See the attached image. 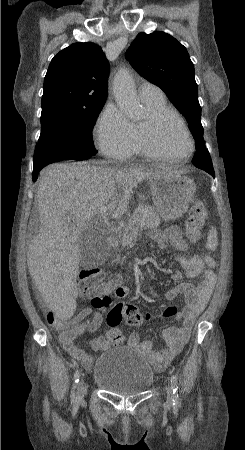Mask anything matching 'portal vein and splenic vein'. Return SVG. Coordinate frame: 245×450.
Instances as JSON below:
<instances>
[{
    "instance_id": "18ae733b",
    "label": "portal vein and splenic vein",
    "mask_w": 245,
    "mask_h": 450,
    "mask_svg": "<svg viewBox=\"0 0 245 450\" xmlns=\"http://www.w3.org/2000/svg\"><path fill=\"white\" fill-rule=\"evenodd\" d=\"M99 214H100V216L102 218H104L107 215V208L106 207H102L100 212H99ZM134 230H137V229H134Z\"/></svg>"
}]
</instances>
